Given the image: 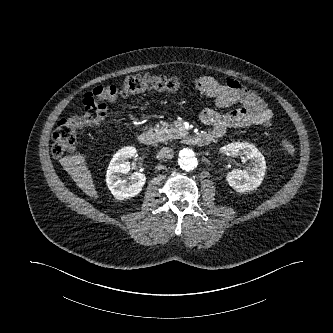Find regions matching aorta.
I'll return each instance as SVG.
<instances>
[{
  "label": "aorta",
  "instance_id": "aorta-1",
  "mask_svg": "<svg viewBox=\"0 0 333 333\" xmlns=\"http://www.w3.org/2000/svg\"><path fill=\"white\" fill-rule=\"evenodd\" d=\"M178 164L181 169L185 171H192L198 165V160L195 156V153L190 148H183L179 152Z\"/></svg>",
  "mask_w": 333,
  "mask_h": 333
}]
</instances>
